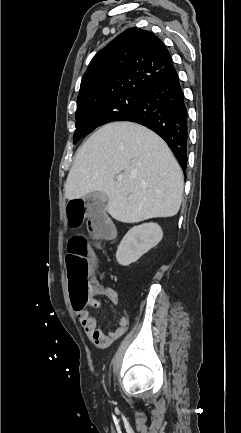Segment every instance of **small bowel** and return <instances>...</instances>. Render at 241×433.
<instances>
[{
	"mask_svg": "<svg viewBox=\"0 0 241 433\" xmlns=\"http://www.w3.org/2000/svg\"><path fill=\"white\" fill-rule=\"evenodd\" d=\"M98 283V282H97ZM97 295L106 296L115 306H119V297L116 290L109 286H102L94 290V297L89 300L88 305L92 308H100L101 302L96 298ZM77 317L84 329L90 342L97 348L103 349L109 346L114 340L120 338L126 330V320H121L108 333H105L97 324L96 319L87 309L86 312H76Z\"/></svg>",
	"mask_w": 241,
	"mask_h": 433,
	"instance_id": "small-bowel-1",
	"label": "small bowel"
}]
</instances>
